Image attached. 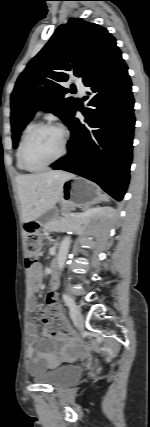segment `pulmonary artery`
Returning <instances> with one entry per match:
<instances>
[{
	"label": "pulmonary artery",
	"instance_id": "obj_1",
	"mask_svg": "<svg viewBox=\"0 0 150 427\" xmlns=\"http://www.w3.org/2000/svg\"><path fill=\"white\" fill-rule=\"evenodd\" d=\"M74 84L78 90L79 95L82 96L85 90L83 83L80 80H76ZM38 114H40V111H38Z\"/></svg>",
	"mask_w": 150,
	"mask_h": 427
}]
</instances>
